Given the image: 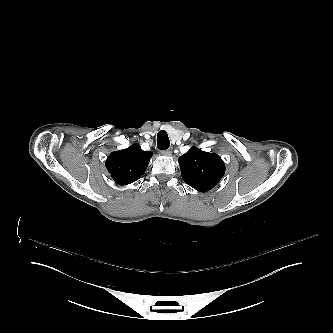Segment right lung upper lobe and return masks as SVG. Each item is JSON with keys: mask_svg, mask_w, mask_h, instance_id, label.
<instances>
[{"mask_svg": "<svg viewBox=\"0 0 333 333\" xmlns=\"http://www.w3.org/2000/svg\"><path fill=\"white\" fill-rule=\"evenodd\" d=\"M152 152L143 151L139 144L112 152L106 160V168L112 178L120 185L138 180L145 172Z\"/></svg>", "mask_w": 333, "mask_h": 333, "instance_id": "obj_1", "label": "right lung upper lobe"}]
</instances>
